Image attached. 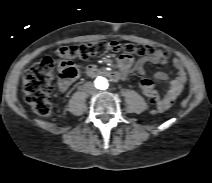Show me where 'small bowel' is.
<instances>
[{"label": "small bowel", "instance_id": "c3829d8e", "mask_svg": "<svg viewBox=\"0 0 212 183\" xmlns=\"http://www.w3.org/2000/svg\"><path fill=\"white\" fill-rule=\"evenodd\" d=\"M149 62L155 64H164L166 60L160 58L142 57L134 61V59L131 56L122 55L118 60V68L122 74H126L127 72L130 71H135L140 75H144L145 74L144 67ZM173 64L176 69V76L169 82V88L164 98L161 100V102L158 104L156 108H153V112L155 113H160L168 110L182 92L184 84L186 82V72L183 64L178 59H175L173 61ZM154 79L159 82H166L168 80V75L165 72L158 71L154 74ZM74 80L75 79H66L60 75L58 80V87L60 91L66 92ZM145 81L150 80L140 79L138 81V86L141 90H142L141 85ZM151 86L153 87L152 82Z\"/></svg>", "mask_w": 212, "mask_h": 183}]
</instances>
